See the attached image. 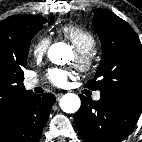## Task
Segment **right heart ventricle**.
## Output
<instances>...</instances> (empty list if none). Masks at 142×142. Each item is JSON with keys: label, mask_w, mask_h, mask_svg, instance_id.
Wrapping results in <instances>:
<instances>
[{"label": "right heart ventricle", "mask_w": 142, "mask_h": 142, "mask_svg": "<svg viewBox=\"0 0 142 142\" xmlns=\"http://www.w3.org/2000/svg\"><path fill=\"white\" fill-rule=\"evenodd\" d=\"M57 32L80 52L93 51L97 45L95 36L83 26L67 24L60 27Z\"/></svg>", "instance_id": "1"}]
</instances>
